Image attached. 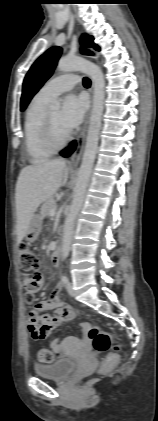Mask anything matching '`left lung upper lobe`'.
Masks as SVG:
<instances>
[{"label":"left lung upper lobe","instance_id":"1","mask_svg":"<svg viewBox=\"0 0 158 421\" xmlns=\"http://www.w3.org/2000/svg\"><path fill=\"white\" fill-rule=\"evenodd\" d=\"M82 53L90 54L85 48L93 47L99 51L100 48L94 44L93 37L84 35L81 38ZM60 47H51L41 55L30 68L23 82V91L21 97V111H24L32 97L42 87L45 81L52 75L57 61L61 55Z\"/></svg>","mask_w":158,"mask_h":421}]
</instances>
